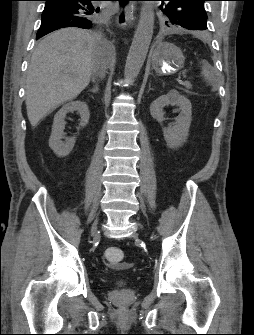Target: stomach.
Instances as JSON below:
<instances>
[{
    "label": "stomach",
    "instance_id": "obj_1",
    "mask_svg": "<svg viewBox=\"0 0 254 335\" xmlns=\"http://www.w3.org/2000/svg\"><path fill=\"white\" fill-rule=\"evenodd\" d=\"M184 61L181 49L169 42H160L151 55V65L159 75L177 72L183 66Z\"/></svg>",
    "mask_w": 254,
    "mask_h": 335
}]
</instances>
